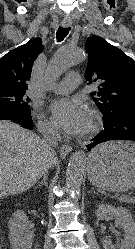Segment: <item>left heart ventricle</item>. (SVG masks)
I'll use <instances>...</instances> for the list:
<instances>
[{"instance_id": "obj_1", "label": "left heart ventricle", "mask_w": 135, "mask_h": 249, "mask_svg": "<svg viewBox=\"0 0 135 249\" xmlns=\"http://www.w3.org/2000/svg\"><path fill=\"white\" fill-rule=\"evenodd\" d=\"M89 123H90V116H89V120H88V123H87V126H86L85 131L87 130V128H88V126H89ZM85 131H84V132H85Z\"/></svg>"}]
</instances>
